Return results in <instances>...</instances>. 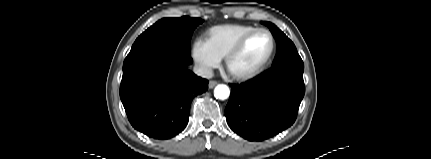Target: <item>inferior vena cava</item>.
<instances>
[{
    "instance_id": "inferior-vena-cava-1",
    "label": "inferior vena cava",
    "mask_w": 431,
    "mask_h": 159,
    "mask_svg": "<svg viewBox=\"0 0 431 159\" xmlns=\"http://www.w3.org/2000/svg\"><path fill=\"white\" fill-rule=\"evenodd\" d=\"M193 71L196 75L206 79H210L214 75L211 68L202 64H195Z\"/></svg>"
}]
</instances>
